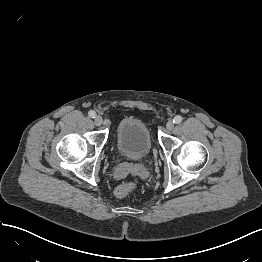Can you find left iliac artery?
I'll use <instances>...</instances> for the list:
<instances>
[{
  "label": "left iliac artery",
  "instance_id": "obj_1",
  "mask_svg": "<svg viewBox=\"0 0 262 262\" xmlns=\"http://www.w3.org/2000/svg\"><path fill=\"white\" fill-rule=\"evenodd\" d=\"M182 122V117L177 115L174 119H173V123L178 124Z\"/></svg>",
  "mask_w": 262,
  "mask_h": 262
}]
</instances>
